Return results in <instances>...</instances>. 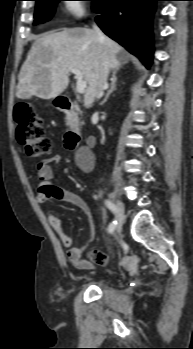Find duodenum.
Masks as SVG:
<instances>
[{
	"mask_svg": "<svg viewBox=\"0 0 193 349\" xmlns=\"http://www.w3.org/2000/svg\"><path fill=\"white\" fill-rule=\"evenodd\" d=\"M56 104L58 109L68 118L69 128L64 136L65 146L68 150L75 151L81 139V131L76 123L75 102L65 97H58Z\"/></svg>",
	"mask_w": 193,
	"mask_h": 349,
	"instance_id": "410a0bca",
	"label": "duodenum"
}]
</instances>
